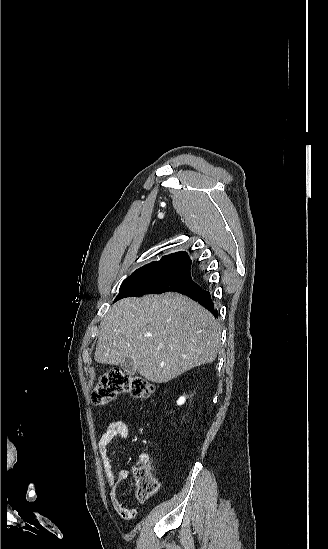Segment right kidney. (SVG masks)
Masks as SVG:
<instances>
[{"label": "right kidney", "mask_w": 328, "mask_h": 549, "mask_svg": "<svg viewBox=\"0 0 328 549\" xmlns=\"http://www.w3.org/2000/svg\"><path fill=\"white\" fill-rule=\"evenodd\" d=\"M185 401H186L185 397H180V399H178L177 401V405H184Z\"/></svg>", "instance_id": "obj_1"}]
</instances>
